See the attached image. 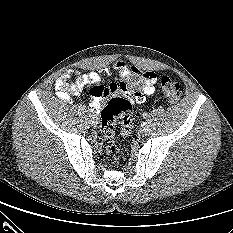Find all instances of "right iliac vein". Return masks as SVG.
I'll list each match as a JSON object with an SVG mask.
<instances>
[{
	"label": "right iliac vein",
	"instance_id": "63e3f726",
	"mask_svg": "<svg viewBox=\"0 0 233 233\" xmlns=\"http://www.w3.org/2000/svg\"><path fill=\"white\" fill-rule=\"evenodd\" d=\"M91 122L94 126H96L99 123L98 117L97 116H93L91 118Z\"/></svg>",
	"mask_w": 233,
	"mask_h": 233
}]
</instances>
